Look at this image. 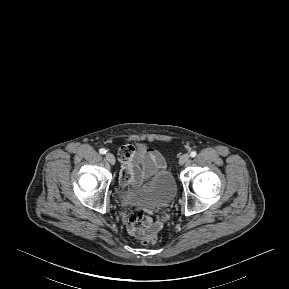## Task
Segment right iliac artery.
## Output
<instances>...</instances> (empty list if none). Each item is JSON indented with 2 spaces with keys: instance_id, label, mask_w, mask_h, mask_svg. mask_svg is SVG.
<instances>
[{
  "instance_id": "1",
  "label": "right iliac artery",
  "mask_w": 289,
  "mask_h": 289,
  "mask_svg": "<svg viewBox=\"0 0 289 289\" xmlns=\"http://www.w3.org/2000/svg\"><path fill=\"white\" fill-rule=\"evenodd\" d=\"M100 154H106L107 150L105 148H101L99 150Z\"/></svg>"
}]
</instances>
